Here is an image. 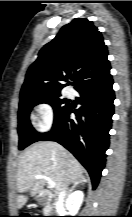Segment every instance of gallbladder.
Returning <instances> with one entry per match:
<instances>
[{
    "mask_svg": "<svg viewBox=\"0 0 132 217\" xmlns=\"http://www.w3.org/2000/svg\"><path fill=\"white\" fill-rule=\"evenodd\" d=\"M46 202V198L39 200V204L44 205Z\"/></svg>",
    "mask_w": 132,
    "mask_h": 217,
    "instance_id": "gallbladder-1",
    "label": "gallbladder"
}]
</instances>
